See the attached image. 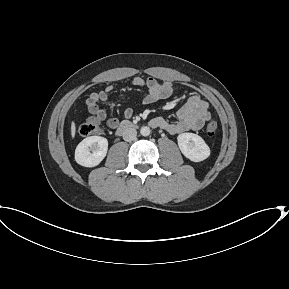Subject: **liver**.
<instances>
[{
    "mask_svg": "<svg viewBox=\"0 0 289 289\" xmlns=\"http://www.w3.org/2000/svg\"><path fill=\"white\" fill-rule=\"evenodd\" d=\"M75 133H76V126H75V123L72 122V123H71V137H72V138L75 137Z\"/></svg>",
    "mask_w": 289,
    "mask_h": 289,
    "instance_id": "1",
    "label": "liver"
}]
</instances>
